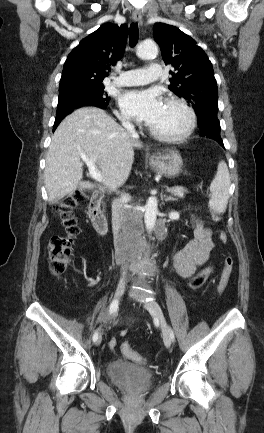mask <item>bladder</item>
<instances>
[{
  "instance_id": "obj_1",
  "label": "bladder",
  "mask_w": 264,
  "mask_h": 433,
  "mask_svg": "<svg viewBox=\"0 0 264 433\" xmlns=\"http://www.w3.org/2000/svg\"><path fill=\"white\" fill-rule=\"evenodd\" d=\"M111 381L127 392H147L152 383L150 372L123 362H112L107 366Z\"/></svg>"
}]
</instances>
